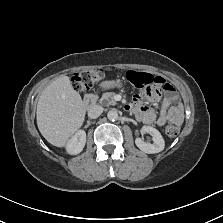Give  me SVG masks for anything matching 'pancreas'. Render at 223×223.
<instances>
[{"instance_id":"obj_1","label":"pancreas","mask_w":223,"mask_h":223,"mask_svg":"<svg viewBox=\"0 0 223 223\" xmlns=\"http://www.w3.org/2000/svg\"><path fill=\"white\" fill-rule=\"evenodd\" d=\"M115 95L114 92H104L101 96V99L108 100V105H116V101L113 99V96Z\"/></svg>"}]
</instances>
